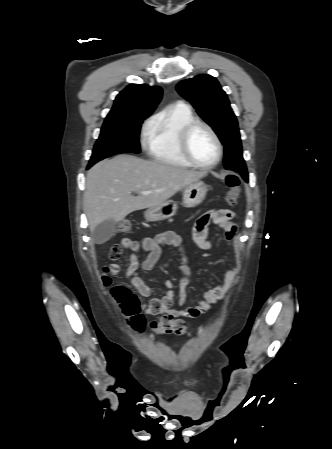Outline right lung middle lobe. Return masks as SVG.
Returning a JSON list of instances; mask_svg holds the SVG:
<instances>
[{
	"label": "right lung middle lobe",
	"mask_w": 332,
	"mask_h": 449,
	"mask_svg": "<svg viewBox=\"0 0 332 449\" xmlns=\"http://www.w3.org/2000/svg\"><path fill=\"white\" fill-rule=\"evenodd\" d=\"M148 116L105 118L100 136L87 168L96 162L119 153H139V133Z\"/></svg>",
	"instance_id": "dd1d6c3e"
}]
</instances>
